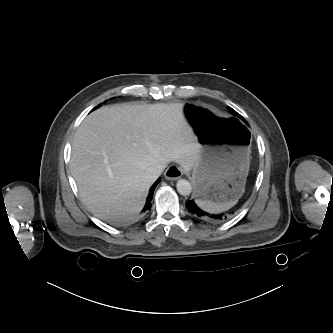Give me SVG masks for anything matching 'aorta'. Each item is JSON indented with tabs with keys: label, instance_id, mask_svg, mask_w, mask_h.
Returning a JSON list of instances; mask_svg holds the SVG:
<instances>
[{
	"label": "aorta",
	"instance_id": "1",
	"mask_svg": "<svg viewBox=\"0 0 333 333\" xmlns=\"http://www.w3.org/2000/svg\"><path fill=\"white\" fill-rule=\"evenodd\" d=\"M177 191L183 196H188L192 192V187L189 181L179 179L176 184Z\"/></svg>",
	"mask_w": 333,
	"mask_h": 333
}]
</instances>
